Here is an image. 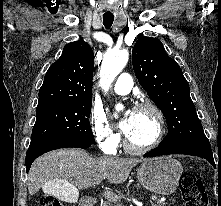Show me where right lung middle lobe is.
Here are the masks:
<instances>
[{
  "instance_id": "right-lung-middle-lobe-1",
  "label": "right lung middle lobe",
  "mask_w": 221,
  "mask_h": 206,
  "mask_svg": "<svg viewBox=\"0 0 221 206\" xmlns=\"http://www.w3.org/2000/svg\"><path fill=\"white\" fill-rule=\"evenodd\" d=\"M91 106L92 103L38 107L29 148L69 140L94 143L88 119Z\"/></svg>"
}]
</instances>
